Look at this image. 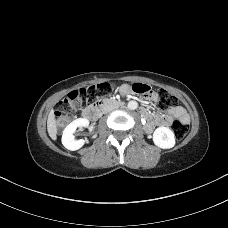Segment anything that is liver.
Segmentation results:
<instances>
[{
  "instance_id": "liver-1",
  "label": "liver",
  "mask_w": 228,
  "mask_h": 228,
  "mask_svg": "<svg viewBox=\"0 0 228 228\" xmlns=\"http://www.w3.org/2000/svg\"><path fill=\"white\" fill-rule=\"evenodd\" d=\"M47 130L48 134L51 137L52 140L57 139V125H56V120H55V115H54V110L52 109L48 115L47 119Z\"/></svg>"
}]
</instances>
